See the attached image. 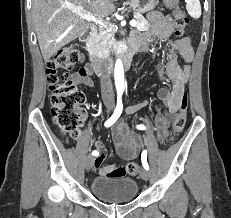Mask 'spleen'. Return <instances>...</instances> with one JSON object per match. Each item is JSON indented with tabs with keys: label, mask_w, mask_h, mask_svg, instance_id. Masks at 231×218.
<instances>
[{
	"label": "spleen",
	"mask_w": 231,
	"mask_h": 218,
	"mask_svg": "<svg viewBox=\"0 0 231 218\" xmlns=\"http://www.w3.org/2000/svg\"><path fill=\"white\" fill-rule=\"evenodd\" d=\"M186 10L188 14L194 18L198 19L201 16V5L199 0H185Z\"/></svg>",
	"instance_id": "obj_1"
}]
</instances>
